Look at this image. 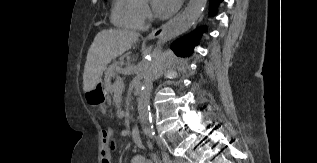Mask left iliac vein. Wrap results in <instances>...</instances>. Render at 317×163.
Here are the masks:
<instances>
[{
    "label": "left iliac vein",
    "mask_w": 317,
    "mask_h": 163,
    "mask_svg": "<svg viewBox=\"0 0 317 163\" xmlns=\"http://www.w3.org/2000/svg\"><path fill=\"white\" fill-rule=\"evenodd\" d=\"M171 163H188V162H176V161H173Z\"/></svg>",
    "instance_id": "1"
}]
</instances>
